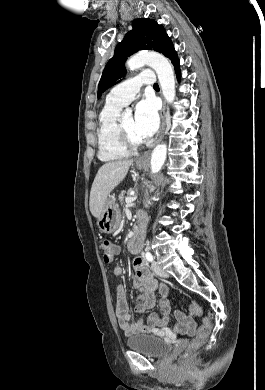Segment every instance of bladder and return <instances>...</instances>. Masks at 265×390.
Masks as SVG:
<instances>
[{
  "instance_id": "obj_1",
  "label": "bladder",
  "mask_w": 265,
  "mask_h": 390,
  "mask_svg": "<svg viewBox=\"0 0 265 390\" xmlns=\"http://www.w3.org/2000/svg\"><path fill=\"white\" fill-rule=\"evenodd\" d=\"M127 346L134 351L149 357H162L171 350V345L164 339L148 334L132 336L126 341Z\"/></svg>"
}]
</instances>
